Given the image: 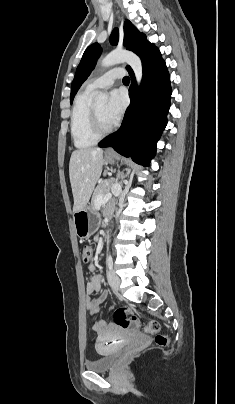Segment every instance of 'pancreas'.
I'll use <instances>...</instances> for the list:
<instances>
[{"mask_svg": "<svg viewBox=\"0 0 235 404\" xmlns=\"http://www.w3.org/2000/svg\"><path fill=\"white\" fill-rule=\"evenodd\" d=\"M112 184H113L112 180H106V181H103L98 184V186L94 190L92 200H91L93 209L97 208V197L99 195H105V194L109 193Z\"/></svg>", "mask_w": 235, "mask_h": 404, "instance_id": "obj_1", "label": "pancreas"}]
</instances>
